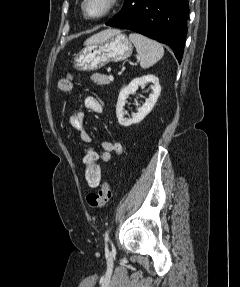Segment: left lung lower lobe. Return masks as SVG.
Segmentation results:
<instances>
[{
  "instance_id": "left-lung-lower-lobe-1",
  "label": "left lung lower lobe",
  "mask_w": 240,
  "mask_h": 287,
  "mask_svg": "<svg viewBox=\"0 0 240 287\" xmlns=\"http://www.w3.org/2000/svg\"><path fill=\"white\" fill-rule=\"evenodd\" d=\"M188 14V0H126L106 25L130 29L169 45L180 63Z\"/></svg>"
}]
</instances>
